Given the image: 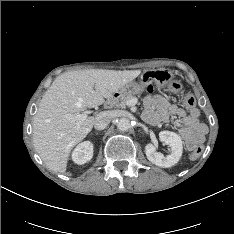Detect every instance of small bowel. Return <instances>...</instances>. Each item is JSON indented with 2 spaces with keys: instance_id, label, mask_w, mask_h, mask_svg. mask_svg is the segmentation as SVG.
Returning a JSON list of instances; mask_svg holds the SVG:
<instances>
[{
  "instance_id": "obj_1",
  "label": "small bowel",
  "mask_w": 234,
  "mask_h": 234,
  "mask_svg": "<svg viewBox=\"0 0 234 234\" xmlns=\"http://www.w3.org/2000/svg\"><path fill=\"white\" fill-rule=\"evenodd\" d=\"M143 119L158 126L163 122L176 119L179 123V134L189 148L202 143L208 128L199 120V111L193 108L186 112L175 104H169L162 96H149L144 101Z\"/></svg>"
}]
</instances>
